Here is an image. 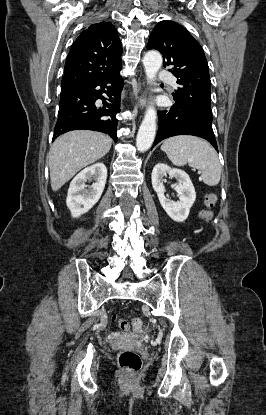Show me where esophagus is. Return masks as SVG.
<instances>
[{
  "mask_svg": "<svg viewBox=\"0 0 266 415\" xmlns=\"http://www.w3.org/2000/svg\"><path fill=\"white\" fill-rule=\"evenodd\" d=\"M140 90H141V83L139 82L138 85H137L136 92L140 93Z\"/></svg>",
  "mask_w": 266,
  "mask_h": 415,
  "instance_id": "34e87169",
  "label": "esophagus"
}]
</instances>
